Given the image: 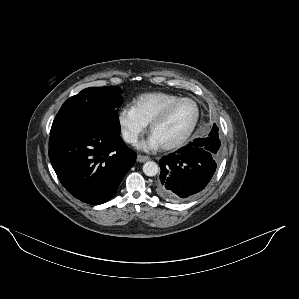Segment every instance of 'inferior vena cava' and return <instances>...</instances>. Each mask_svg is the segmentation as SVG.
Here are the masks:
<instances>
[{
	"label": "inferior vena cava",
	"mask_w": 299,
	"mask_h": 299,
	"mask_svg": "<svg viewBox=\"0 0 299 299\" xmlns=\"http://www.w3.org/2000/svg\"><path fill=\"white\" fill-rule=\"evenodd\" d=\"M123 139L127 143H136L137 142V136L135 134L129 133V132H124L123 133Z\"/></svg>",
	"instance_id": "602c4592"
}]
</instances>
